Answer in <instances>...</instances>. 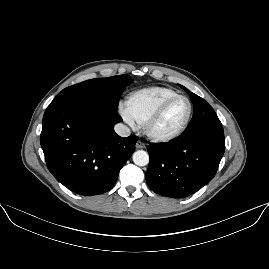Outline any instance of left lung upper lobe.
Segmentation results:
<instances>
[{"instance_id":"obj_1","label":"left lung upper lobe","mask_w":269,"mask_h":269,"mask_svg":"<svg viewBox=\"0 0 269 269\" xmlns=\"http://www.w3.org/2000/svg\"><path fill=\"white\" fill-rule=\"evenodd\" d=\"M190 96L193 103V117L184 133H190L209 126H221V122L207 101L179 85Z\"/></svg>"}]
</instances>
